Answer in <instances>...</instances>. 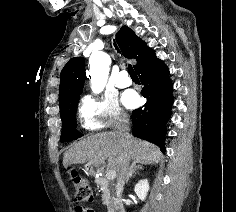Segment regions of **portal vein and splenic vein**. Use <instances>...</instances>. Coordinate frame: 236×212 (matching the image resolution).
I'll return each instance as SVG.
<instances>
[{"mask_svg":"<svg viewBox=\"0 0 236 212\" xmlns=\"http://www.w3.org/2000/svg\"><path fill=\"white\" fill-rule=\"evenodd\" d=\"M106 177H107V179H109V180H113V179L116 177V171H115V170H109V171L106 173Z\"/></svg>","mask_w":236,"mask_h":212,"instance_id":"obj_1","label":"portal vein and splenic vein"}]
</instances>
